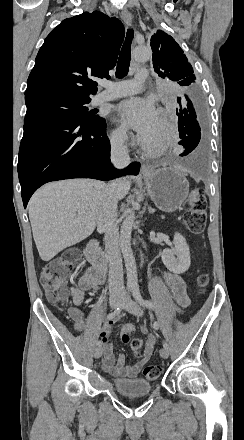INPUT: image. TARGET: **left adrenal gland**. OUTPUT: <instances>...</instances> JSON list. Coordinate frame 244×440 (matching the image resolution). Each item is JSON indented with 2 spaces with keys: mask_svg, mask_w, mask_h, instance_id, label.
I'll list each match as a JSON object with an SVG mask.
<instances>
[{
  "mask_svg": "<svg viewBox=\"0 0 244 440\" xmlns=\"http://www.w3.org/2000/svg\"><path fill=\"white\" fill-rule=\"evenodd\" d=\"M153 208H149V214H152Z\"/></svg>",
  "mask_w": 244,
  "mask_h": 440,
  "instance_id": "left-adrenal-gland-1",
  "label": "left adrenal gland"
}]
</instances>
